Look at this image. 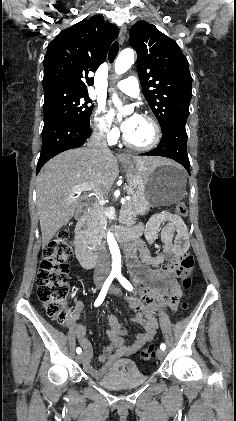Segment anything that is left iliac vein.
<instances>
[{"label": "left iliac vein", "instance_id": "left-iliac-vein-1", "mask_svg": "<svg viewBox=\"0 0 236 421\" xmlns=\"http://www.w3.org/2000/svg\"><path fill=\"white\" fill-rule=\"evenodd\" d=\"M118 291L119 290L117 288H115V287H112L111 288V292H118ZM156 355H157L158 358H163V357H165V351L162 350V349H158L156 351Z\"/></svg>", "mask_w": 236, "mask_h": 421}]
</instances>
